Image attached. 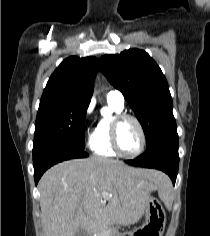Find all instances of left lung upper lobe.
<instances>
[{
	"instance_id": "1",
	"label": "left lung upper lobe",
	"mask_w": 210,
	"mask_h": 236,
	"mask_svg": "<svg viewBox=\"0 0 210 236\" xmlns=\"http://www.w3.org/2000/svg\"><path fill=\"white\" fill-rule=\"evenodd\" d=\"M99 67L135 112L147 146L159 136L177 130L166 78L148 53L129 49L117 55H104Z\"/></svg>"
}]
</instances>
